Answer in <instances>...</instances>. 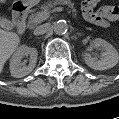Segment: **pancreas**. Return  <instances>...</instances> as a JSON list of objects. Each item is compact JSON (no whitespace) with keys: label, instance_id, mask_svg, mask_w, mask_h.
<instances>
[{"label":"pancreas","instance_id":"cf45deb5","mask_svg":"<svg viewBox=\"0 0 119 119\" xmlns=\"http://www.w3.org/2000/svg\"><path fill=\"white\" fill-rule=\"evenodd\" d=\"M58 5H69L70 7H73V3H71L70 0H53L52 2H49L46 5H42L41 12H47L50 14L53 11V9ZM41 12H36L31 15L30 17L31 24L35 25L40 22L36 20V16Z\"/></svg>","mask_w":119,"mask_h":119}]
</instances>
